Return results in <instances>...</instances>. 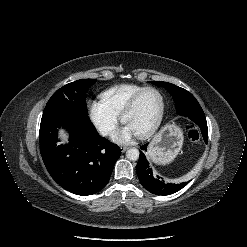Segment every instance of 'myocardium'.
Returning <instances> with one entry per match:
<instances>
[{
    "instance_id": "myocardium-1",
    "label": "myocardium",
    "mask_w": 247,
    "mask_h": 247,
    "mask_svg": "<svg viewBox=\"0 0 247 247\" xmlns=\"http://www.w3.org/2000/svg\"><path fill=\"white\" fill-rule=\"evenodd\" d=\"M148 91H153L155 93L158 94V96L160 97V101H161V109H160V113L159 116L157 118V120L153 123L152 126H150L146 131L136 134L139 138L141 139H145L150 137L152 134H154L157 129L160 127L164 115H165V109H166V102H165V98L164 95L162 94V92L155 88V87H145L142 90H140L139 92H137L132 98L131 100L127 103V105L124 107L123 111L121 112L120 116H121V121L123 123H125V118L126 116L132 112V110L135 108V106L137 105L139 99L141 98V96L148 92Z\"/></svg>"
}]
</instances>
